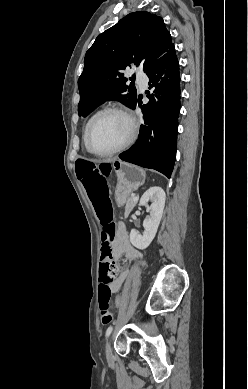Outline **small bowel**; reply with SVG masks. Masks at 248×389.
Segmentation results:
<instances>
[{
    "instance_id": "small-bowel-1",
    "label": "small bowel",
    "mask_w": 248,
    "mask_h": 389,
    "mask_svg": "<svg viewBox=\"0 0 248 389\" xmlns=\"http://www.w3.org/2000/svg\"><path fill=\"white\" fill-rule=\"evenodd\" d=\"M112 252L114 257L120 258L125 256L130 262L138 263L141 260V254L132 246L129 240L128 232L123 223H120L117 230V237L112 244ZM128 269H121L116 280L111 285L112 292H118L129 276Z\"/></svg>"
}]
</instances>
